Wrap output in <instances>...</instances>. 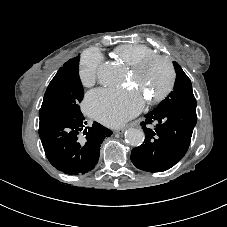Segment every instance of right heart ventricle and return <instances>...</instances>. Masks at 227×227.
Wrapping results in <instances>:
<instances>
[{
	"instance_id": "obj_1",
	"label": "right heart ventricle",
	"mask_w": 227,
	"mask_h": 227,
	"mask_svg": "<svg viewBox=\"0 0 227 227\" xmlns=\"http://www.w3.org/2000/svg\"><path fill=\"white\" fill-rule=\"evenodd\" d=\"M114 54L131 67L145 58L156 55L151 48L141 44L120 45L115 48Z\"/></svg>"
}]
</instances>
